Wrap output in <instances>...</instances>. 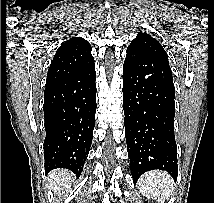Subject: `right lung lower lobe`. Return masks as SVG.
Here are the masks:
<instances>
[{
	"instance_id": "98d812e1",
	"label": "right lung lower lobe",
	"mask_w": 214,
	"mask_h": 203,
	"mask_svg": "<svg viewBox=\"0 0 214 203\" xmlns=\"http://www.w3.org/2000/svg\"><path fill=\"white\" fill-rule=\"evenodd\" d=\"M95 63L46 84L44 92L45 172L69 169L78 176L90 150L96 112Z\"/></svg>"
}]
</instances>
